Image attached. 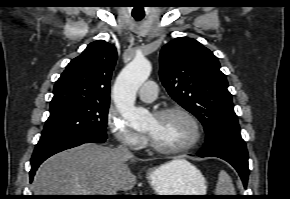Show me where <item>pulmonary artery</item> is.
Listing matches in <instances>:
<instances>
[{"label":"pulmonary artery","instance_id":"pulmonary-artery-1","mask_svg":"<svg viewBox=\"0 0 290 199\" xmlns=\"http://www.w3.org/2000/svg\"><path fill=\"white\" fill-rule=\"evenodd\" d=\"M139 98L144 102H153L157 97V85L153 81L145 82L138 90Z\"/></svg>","mask_w":290,"mask_h":199}]
</instances>
